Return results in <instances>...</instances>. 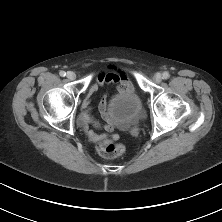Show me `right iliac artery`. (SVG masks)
<instances>
[{
	"label": "right iliac artery",
	"mask_w": 222,
	"mask_h": 222,
	"mask_svg": "<svg viewBox=\"0 0 222 222\" xmlns=\"http://www.w3.org/2000/svg\"><path fill=\"white\" fill-rule=\"evenodd\" d=\"M60 76H62V77H64V76H66V72L65 71H60Z\"/></svg>",
	"instance_id": "obj_1"
}]
</instances>
